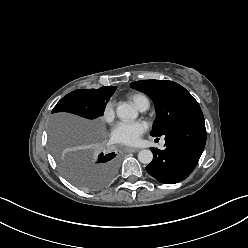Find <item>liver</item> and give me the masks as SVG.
Returning <instances> with one entry per match:
<instances>
[{"mask_svg": "<svg viewBox=\"0 0 248 248\" xmlns=\"http://www.w3.org/2000/svg\"><path fill=\"white\" fill-rule=\"evenodd\" d=\"M55 126L59 132H64V134L71 132L92 136L95 131L92 124L68 116L57 117L55 120Z\"/></svg>", "mask_w": 248, "mask_h": 248, "instance_id": "obj_1", "label": "liver"}]
</instances>
